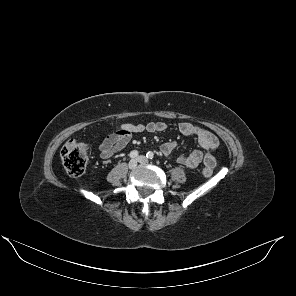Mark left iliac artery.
I'll list each match as a JSON object with an SVG mask.
<instances>
[{
    "mask_svg": "<svg viewBox=\"0 0 296 296\" xmlns=\"http://www.w3.org/2000/svg\"><path fill=\"white\" fill-rule=\"evenodd\" d=\"M146 157L149 158V159H153L154 158V153L149 151L147 154H146Z\"/></svg>",
    "mask_w": 296,
    "mask_h": 296,
    "instance_id": "44dca946",
    "label": "left iliac artery"
}]
</instances>
